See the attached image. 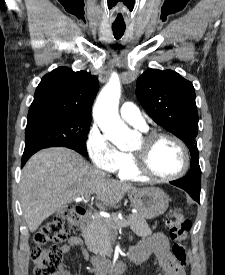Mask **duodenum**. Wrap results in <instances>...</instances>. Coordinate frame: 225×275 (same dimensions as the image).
<instances>
[{"instance_id":"1","label":"duodenum","mask_w":225,"mask_h":275,"mask_svg":"<svg viewBox=\"0 0 225 275\" xmlns=\"http://www.w3.org/2000/svg\"><path fill=\"white\" fill-rule=\"evenodd\" d=\"M82 222L83 226L86 227L90 222L87 218V210L82 208ZM132 260L135 261L133 256L131 255ZM92 263L94 266L95 273L97 275H121L124 274L130 265L129 260L114 262L110 258H102L99 256L92 257Z\"/></svg>"}]
</instances>
